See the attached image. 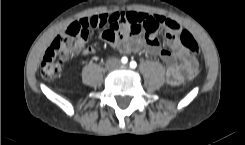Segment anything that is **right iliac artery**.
<instances>
[{"mask_svg":"<svg viewBox=\"0 0 245 145\" xmlns=\"http://www.w3.org/2000/svg\"><path fill=\"white\" fill-rule=\"evenodd\" d=\"M121 61H122V63L126 64V63L128 62V59H127V57H123V58L121 59Z\"/></svg>","mask_w":245,"mask_h":145,"instance_id":"82829eb1","label":"right iliac artery"}]
</instances>
